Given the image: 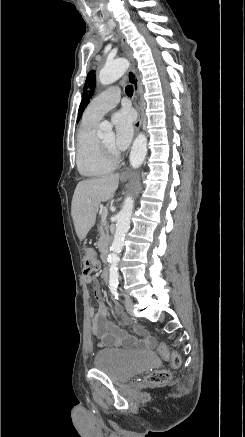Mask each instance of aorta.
<instances>
[{"mask_svg":"<svg viewBox=\"0 0 245 437\" xmlns=\"http://www.w3.org/2000/svg\"><path fill=\"white\" fill-rule=\"evenodd\" d=\"M129 63L126 59H117L112 63L106 64L100 71L98 79L101 84L108 85L118 80L127 70ZM111 130V126L102 125L98 135L102 136L105 131ZM147 154V138L140 133L134 140L130 152V164L133 168H138L144 162ZM134 208V201L127 197L123 207L116 216V230L114 239L108 255L109 262V280L116 282L118 280V263L120 261L119 253L124 246L125 235L130 228V219Z\"/></svg>","mask_w":245,"mask_h":437,"instance_id":"aorta-1","label":"aorta"}]
</instances>
